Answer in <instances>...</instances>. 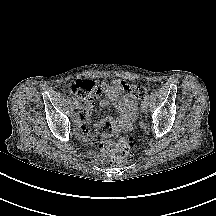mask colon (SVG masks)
Masks as SVG:
<instances>
[{
    "label": "colon",
    "mask_w": 216,
    "mask_h": 216,
    "mask_svg": "<svg viewBox=\"0 0 216 216\" xmlns=\"http://www.w3.org/2000/svg\"><path fill=\"white\" fill-rule=\"evenodd\" d=\"M69 91L82 101L94 102L101 94L102 88L93 80H77L69 86ZM130 92L134 98L141 99L147 93V89L144 86L134 85L130 87ZM110 131V125L104 124L99 134L107 137ZM133 148L134 138L130 136L105 140L101 145L103 153L110 157V163L116 166L132 160Z\"/></svg>",
    "instance_id": "obj_1"
}]
</instances>
